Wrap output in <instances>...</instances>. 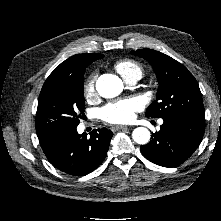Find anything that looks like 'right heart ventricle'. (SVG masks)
I'll list each match as a JSON object with an SVG mask.
<instances>
[{
  "instance_id": "1",
  "label": "right heart ventricle",
  "mask_w": 221,
  "mask_h": 221,
  "mask_svg": "<svg viewBox=\"0 0 221 221\" xmlns=\"http://www.w3.org/2000/svg\"><path fill=\"white\" fill-rule=\"evenodd\" d=\"M114 69L124 78L129 80L131 78L140 79L143 74L142 65L132 59H122L114 64Z\"/></svg>"
}]
</instances>
